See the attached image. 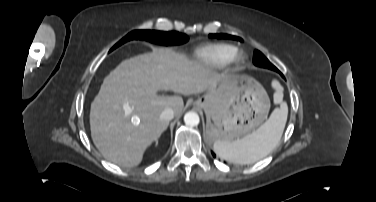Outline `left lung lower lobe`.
Masks as SVG:
<instances>
[{"mask_svg": "<svg viewBox=\"0 0 376 202\" xmlns=\"http://www.w3.org/2000/svg\"><path fill=\"white\" fill-rule=\"evenodd\" d=\"M212 155L215 157V154L212 152Z\"/></svg>", "mask_w": 376, "mask_h": 202, "instance_id": "left-lung-lower-lobe-1", "label": "left lung lower lobe"}]
</instances>
